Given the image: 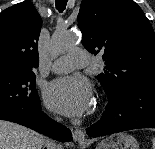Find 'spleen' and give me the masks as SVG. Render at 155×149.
Listing matches in <instances>:
<instances>
[{
    "mask_svg": "<svg viewBox=\"0 0 155 149\" xmlns=\"http://www.w3.org/2000/svg\"><path fill=\"white\" fill-rule=\"evenodd\" d=\"M152 149H155V138H152Z\"/></svg>",
    "mask_w": 155,
    "mask_h": 149,
    "instance_id": "3e777b00",
    "label": "spleen"
}]
</instances>
